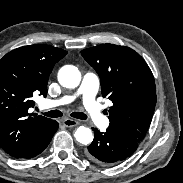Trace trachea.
Listing matches in <instances>:
<instances>
[{"instance_id": "trachea-1", "label": "trachea", "mask_w": 183, "mask_h": 183, "mask_svg": "<svg viewBox=\"0 0 183 183\" xmlns=\"http://www.w3.org/2000/svg\"><path fill=\"white\" fill-rule=\"evenodd\" d=\"M45 116L47 117H51V118H58V117H62L63 113L59 110H51L48 112H44L43 113ZM71 117L76 118V119H81V120H85L87 119V115L84 114L83 112H72L70 114Z\"/></svg>"}]
</instances>
